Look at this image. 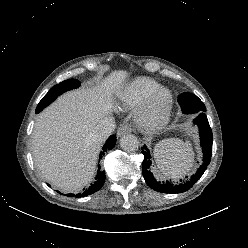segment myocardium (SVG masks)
Segmentation results:
<instances>
[{
	"instance_id": "f54148a6",
	"label": "myocardium",
	"mask_w": 248,
	"mask_h": 248,
	"mask_svg": "<svg viewBox=\"0 0 248 248\" xmlns=\"http://www.w3.org/2000/svg\"><path fill=\"white\" fill-rule=\"evenodd\" d=\"M173 105V93L168 88H160L138 107L137 121L145 129H160L169 122Z\"/></svg>"
}]
</instances>
